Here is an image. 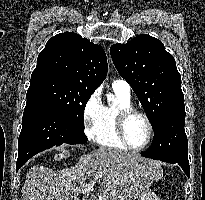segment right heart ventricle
Segmentation results:
<instances>
[{
    "instance_id": "e07e8e85",
    "label": "right heart ventricle",
    "mask_w": 205,
    "mask_h": 200,
    "mask_svg": "<svg viewBox=\"0 0 205 200\" xmlns=\"http://www.w3.org/2000/svg\"><path fill=\"white\" fill-rule=\"evenodd\" d=\"M114 93L117 104L115 107L104 106L100 129L95 140L97 144L103 147L126 149L116 133L115 115L120 108L132 107L131 99L117 91H114Z\"/></svg>"
}]
</instances>
